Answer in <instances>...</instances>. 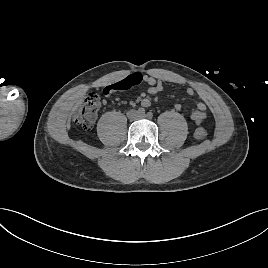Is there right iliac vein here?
Instances as JSON below:
<instances>
[{
	"instance_id": "obj_1",
	"label": "right iliac vein",
	"mask_w": 268,
	"mask_h": 268,
	"mask_svg": "<svg viewBox=\"0 0 268 268\" xmlns=\"http://www.w3.org/2000/svg\"><path fill=\"white\" fill-rule=\"evenodd\" d=\"M128 117L131 119V120H135L137 118V113L136 111L134 110H131L128 112Z\"/></svg>"
}]
</instances>
